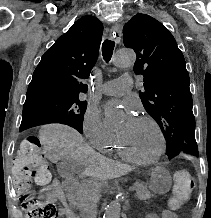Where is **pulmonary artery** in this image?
Instances as JSON below:
<instances>
[{
  "label": "pulmonary artery",
  "mask_w": 211,
  "mask_h": 218,
  "mask_svg": "<svg viewBox=\"0 0 211 218\" xmlns=\"http://www.w3.org/2000/svg\"><path fill=\"white\" fill-rule=\"evenodd\" d=\"M132 79L129 75H122L118 79L111 80L104 83L100 87V91L104 94L122 95L127 91H131V87H135L134 80H122Z\"/></svg>",
  "instance_id": "obj_1"
}]
</instances>
